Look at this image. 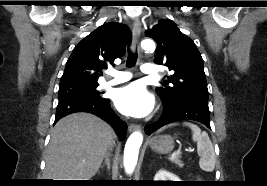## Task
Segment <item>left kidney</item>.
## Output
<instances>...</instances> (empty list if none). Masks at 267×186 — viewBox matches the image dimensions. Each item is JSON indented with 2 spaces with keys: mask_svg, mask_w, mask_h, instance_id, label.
Segmentation results:
<instances>
[{
  "mask_svg": "<svg viewBox=\"0 0 267 186\" xmlns=\"http://www.w3.org/2000/svg\"><path fill=\"white\" fill-rule=\"evenodd\" d=\"M154 181H180L179 177L166 170H160L155 174Z\"/></svg>",
  "mask_w": 267,
  "mask_h": 186,
  "instance_id": "left-kidney-1",
  "label": "left kidney"
}]
</instances>
